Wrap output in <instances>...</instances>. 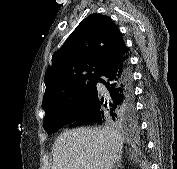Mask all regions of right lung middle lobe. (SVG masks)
Segmentation results:
<instances>
[{
	"label": "right lung middle lobe",
	"instance_id": "obj_1",
	"mask_svg": "<svg viewBox=\"0 0 177 169\" xmlns=\"http://www.w3.org/2000/svg\"><path fill=\"white\" fill-rule=\"evenodd\" d=\"M95 95L96 85L93 81L71 91L61 101L43 107L46 112L44 129L50 134L72 122L91 107Z\"/></svg>",
	"mask_w": 177,
	"mask_h": 169
}]
</instances>
